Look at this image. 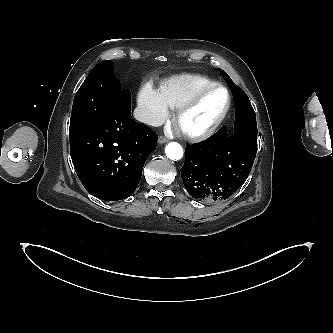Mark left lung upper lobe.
Listing matches in <instances>:
<instances>
[{
  "label": "left lung upper lobe",
  "mask_w": 333,
  "mask_h": 333,
  "mask_svg": "<svg viewBox=\"0 0 333 333\" xmlns=\"http://www.w3.org/2000/svg\"><path fill=\"white\" fill-rule=\"evenodd\" d=\"M219 72L222 74V76L226 79V81L228 82L229 86L231 87V90L233 93L237 94V95H241L249 104V99L247 97V95L244 93V91L239 88L238 86H236L233 81L231 80V78L222 70L219 69Z\"/></svg>",
  "instance_id": "5c2ea615"
}]
</instances>
